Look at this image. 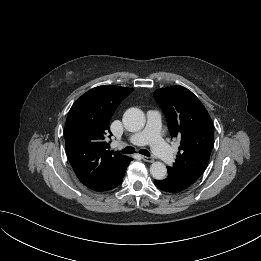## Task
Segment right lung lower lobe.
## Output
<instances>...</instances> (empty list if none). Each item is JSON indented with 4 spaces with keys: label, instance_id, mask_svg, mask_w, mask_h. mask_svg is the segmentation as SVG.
I'll use <instances>...</instances> for the list:
<instances>
[{
    "label": "right lung lower lobe",
    "instance_id": "right-lung-lower-lobe-1",
    "mask_svg": "<svg viewBox=\"0 0 261 261\" xmlns=\"http://www.w3.org/2000/svg\"><path fill=\"white\" fill-rule=\"evenodd\" d=\"M131 160H132V158H131ZM131 160H130V162H131ZM125 171H126V169L114 181H112L111 183H109V184H107V185H105V186H103V187H101V188H99L95 191L100 192V191H108V190L114 189L115 187H117L118 185H120L122 183L123 177L125 175Z\"/></svg>",
    "mask_w": 261,
    "mask_h": 261
}]
</instances>
